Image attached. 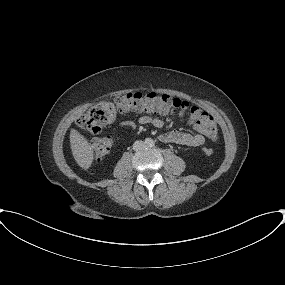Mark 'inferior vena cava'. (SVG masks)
I'll return each mask as SVG.
<instances>
[{"label": "inferior vena cava", "mask_w": 285, "mask_h": 285, "mask_svg": "<svg viewBox=\"0 0 285 285\" xmlns=\"http://www.w3.org/2000/svg\"><path fill=\"white\" fill-rule=\"evenodd\" d=\"M146 147V144L143 141H136L133 144V150L140 151L143 150Z\"/></svg>", "instance_id": "inferior-vena-cava-1"}]
</instances>
